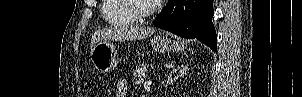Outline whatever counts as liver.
<instances>
[{
	"instance_id": "liver-1",
	"label": "liver",
	"mask_w": 302,
	"mask_h": 97,
	"mask_svg": "<svg viewBox=\"0 0 302 97\" xmlns=\"http://www.w3.org/2000/svg\"><path fill=\"white\" fill-rule=\"evenodd\" d=\"M155 32L152 27L140 25H120L96 31L91 39V51L98 41L119 40L134 41L150 37Z\"/></svg>"
}]
</instances>
